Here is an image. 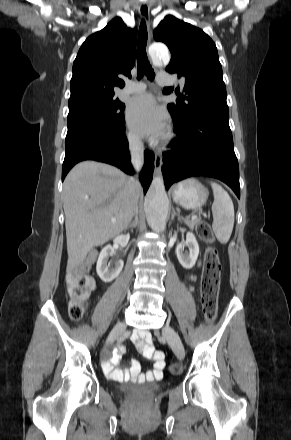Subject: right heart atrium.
<instances>
[{
    "mask_svg": "<svg viewBox=\"0 0 291 440\" xmlns=\"http://www.w3.org/2000/svg\"><path fill=\"white\" fill-rule=\"evenodd\" d=\"M127 139L130 143H134L136 141V138L132 133H128Z\"/></svg>",
    "mask_w": 291,
    "mask_h": 440,
    "instance_id": "right-heart-atrium-1",
    "label": "right heart atrium"
}]
</instances>
